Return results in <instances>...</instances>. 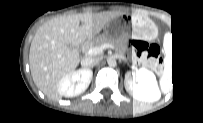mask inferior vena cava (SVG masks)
<instances>
[{
	"label": "inferior vena cava",
	"mask_w": 203,
	"mask_h": 123,
	"mask_svg": "<svg viewBox=\"0 0 203 123\" xmlns=\"http://www.w3.org/2000/svg\"><path fill=\"white\" fill-rule=\"evenodd\" d=\"M100 59L98 57H86L81 61L83 67L89 69L98 64Z\"/></svg>",
	"instance_id": "602c4592"
}]
</instances>
